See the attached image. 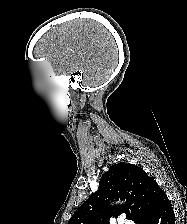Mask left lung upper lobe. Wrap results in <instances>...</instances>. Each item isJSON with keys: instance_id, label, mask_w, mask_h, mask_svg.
Listing matches in <instances>:
<instances>
[{"instance_id": "5c2ea615", "label": "left lung upper lobe", "mask_w": 187, "mask_h": 224, "mask_svg": "<svg viewBox=\"0 0 187 224\" xmlns=\"http://www.w3.org/2000/svg\"><path fill=\"white\" fill-rule=\"evenodd\" d=\"M160 190L141 167L112 165L100 179L99 189L74 212L68 224H109L119 214L139 224L150 212ZM117 198L127 201L124 205L110 206V200Z\"/></svg>"}]
</instances>
